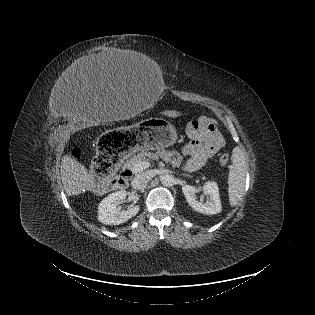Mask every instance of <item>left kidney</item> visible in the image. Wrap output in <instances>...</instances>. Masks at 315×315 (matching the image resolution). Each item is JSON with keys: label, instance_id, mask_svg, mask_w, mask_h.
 <instances>
[{"label": "left kidney", "instance_id": "left-kidney-1", "mask_svg": "<svg viewBox=\"0 0 315 315\" xmlns=\"http://www.w3.org/2000/svg\"><path fill=\"white\" fill-rule=\"evenodd\" d=\"M202 190L204 194L208 196L206 201L203 199L200 201L197 200L196 193H198L200 189L191 185H184L182 187V192L186 201L192 209L206 215L220 213L222 207L217 183L214 181H208L205 183Z\"/></svg>", "mask_w": 315, "mask_h": 315}]
</instances>
